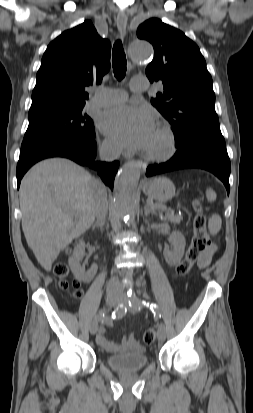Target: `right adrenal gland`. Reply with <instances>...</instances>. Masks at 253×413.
<instances>
[{"label":"right adrenal gland","mask_w":253,"mask_h":413,"mask_svg":"<svg viewBox=\"0 0 253 413\" xmlns=\"http://www.w3.org/2000/svg\"><path fill=\"white\" fill-rule=\"evenodd\" d=\"M104 223H105V221H103V222H96L94 225H93V228H100V229H102L103 228V226H104Z\"/></svg>","instance_id":"right-adrenal-gland-1"}]
</instances>
